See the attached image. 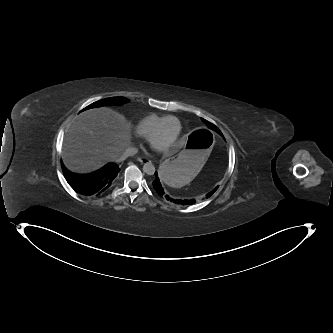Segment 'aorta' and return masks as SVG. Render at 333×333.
<instances>
[{"label":"aorta","mask_w":333,"mask_h":333,"mask_svg":"<svg viewBox=\"0 0 333 333\" xmlns=\"http://www.w3.org/2000/svg\"><path fill=\"white\" fill-rule=\"evenodd\" d=\"M143 171L148 175H153L155 173V167L151 162H147L143 167Z\"/></svg>","instance_id":"obj_1"}]
</instances>
